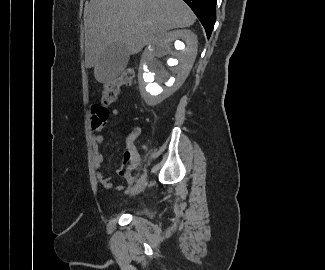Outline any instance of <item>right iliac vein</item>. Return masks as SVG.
I'll return each mask as SVG.
<instances>
[{"label": "right iliac vein", "mask_w": 325, "mask_h": 270, "mask_svg": "<svg viewBox=\"0 0 325 270\" xmlns=\"http://www.w3.org/2000/svg\"><path fill=\"white\" fill-rule=\"evenodd\" d=\"M147 185V181L143 180L140 183L136 184L130 191L131 195H136L142 192Z\"/></svg>", "instance_id": "1"}]
</instances>
